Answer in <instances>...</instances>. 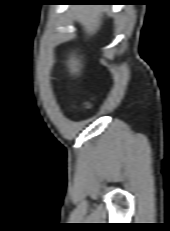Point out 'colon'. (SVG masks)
<instances>
[{
  "mask_svg": "<svg viewBox=\"0 0 170 231\" xmlns=\"http://www.w3.org/2000/svg\"><path fill=\"white\" fill-rule=\"evenodd\" d=\"M88 106H89V104L87 103V104H86V107H88Z\"/></svg>",
  "mask_w": 170,
  "mask_h": 231,
  "instance_id": "obj_1",
  "label": "colon"
}]
</instances>
